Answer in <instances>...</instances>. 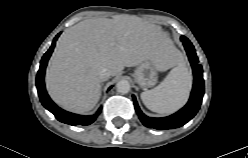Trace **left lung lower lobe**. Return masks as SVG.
<instances>
[{
	"instance_id": "1",
	"label": "left lung lower lobe",
	"mask_w": 248,
	"mask_h": 158,
	"mask_svg": "<svg viewBox=\"0 0 248 158\" xmlns=\"http://www.w3.org/2000/svg\"><path fill=\"white\" fill-rule=\"evenodd\" d=\"M188 58L194 73V85L190 99L186 106L177 113L163 118H151L142 113L139 109L136 98L133 96L135 109L141 122L148 128L158 130L178 128L186 124L198 112L202 97L204 95V81L202 77V66L198 64V58L192 43L185 36H181Z\"/></svg>"
}]
</instances>
